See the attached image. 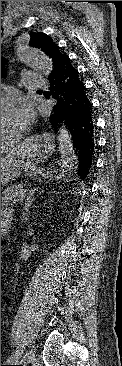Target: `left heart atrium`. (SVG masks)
<instances>
[{"label":"left heart atrium","instance_id":"1","mask_svg":"<svg viewBox=\"0 0 122 366\" xmlns=\"http://www.w3.org/2000/svg\"><path fill=\"white\" fill-rule=\"evenodd\" d=\"M18 114L21 118V125L27 123L32 116L31 106L28 102L23 99H18L17 101Z\"/></svg>","mask_w":122,"mask_h":366}]
</instances>
